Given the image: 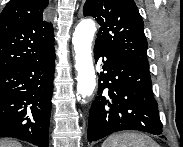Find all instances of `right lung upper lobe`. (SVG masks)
Wrapping results in <instances>:
<instances>
[{
  "label": "right lung upper lobe",
  "instance_id": "obj_1",
  "mask_svg": "<svg viewBox=\"0 0 183 147\" xmlns=\"http://www.w3.org/2000/svg\"><path fill=\"white\" fill-rule=\"evenodd\" d=\"M48 0H10L0 15V73L54 52V31L43 19Z\"/></svg>",
  "mask_w": 183,
  "mask_h": 147
}]
</instances>
